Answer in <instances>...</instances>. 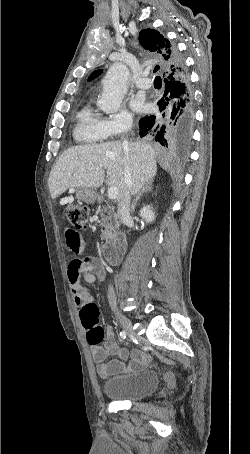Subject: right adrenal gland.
I'll return each instance as SVG.
<instances>
[{"mask_svg": "<svg viewBox=\"0 0 250 454\" xmlns=\"http://www.w3.org/2000/svg\"><path fill=\"white\" fill-rule=\"evenodd\" d=\"M151 191H152V182H148L141 188L140 192L136 195V197L132 203V206H131V213L134 212L136 203L143 196V194H145L147 192H151Z\"/></svg>", "mask_w": 250, "mask_h": 454, "instance_id": "2a0ac1e0", "label": "right adrenal gland"}]
</instances>
